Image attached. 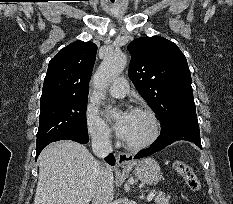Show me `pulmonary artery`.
Wrapping results in <instances>:
<instances>
[{
	"label": "pulmonary artery",
	"mask_w": 233,
	"mask_h": 204,
	"mask_svg": "<svg viewBox=\"0 0 233 204\" xmlns=\"http://www.w3.org/2000/svg\"><path fill=\"white\" fill-rule=\"evenodd\" d=\"M129 90L128 82L125 78H117L109 87V93L116 98L124 97Z\"/></svg>",
	"instance_id": "1"
}]
</instances>
